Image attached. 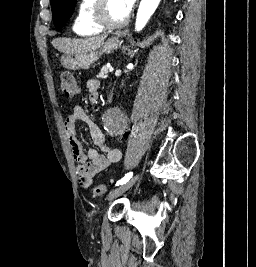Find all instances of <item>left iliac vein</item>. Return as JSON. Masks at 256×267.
<instances>
[{
    "label": "left iliac vein",
    "mask_w": 256,
    "mask_h": 267,
    "mask_svg": "<svg viewBox=\"0 0 256 267\" xmlns=\"http://www.w3.org/2000/svg\"><path fill=\"white\" fill-rule=\"evenodd\" d=\"M139 175H136L133 179H131L130 181L121 184L119 187H117L116 189H114L113 191H111L108 196H107V201H112L115 198H117L118 196L122 195L124 192H126L127 190H129L139 179Z\"/></svg>",
    "instance_id": "4c4485c4"
}]
</instances>
